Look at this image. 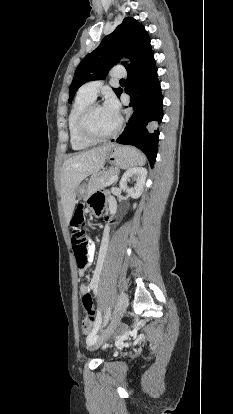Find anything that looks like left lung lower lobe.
Instances as JSON below:
<instances>
[{"instance_id": "0a47b994", "label": "left lung lower lobe", "mask_w": 233, "mask_h": 414, "mask_svg": "<svg viewBox=\"0 0 233 414\" xmlns=\"http://www.w3.org/2000/svg\"><path fill=\"white\" fill-rule=\"evenodd\" d=\"M125 92L130 95L129 106L133 107L134 112L122 134L112 141L137 147L153 167L159 139V131L155 128L163 117V97L153 53L128 72ZM121 93L122 90L118 97Z\"/></svg>"}]
</instances>
